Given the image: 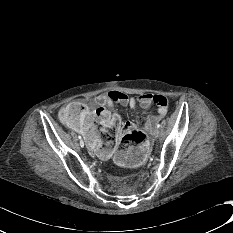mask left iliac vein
<instances>
[{
  "mask_svg": "<svg viewBox=\"0 0 233 233\" xmlns=\"http://www.w3.org/2000/svg\"><path fill=\"white\" fill-rule=\"evenodd\" d=\"M160 131L158 128H155L154 132H153V136L155 139H157L159 137Z\"/></svg>",
  "mask_w": 233,
  "mask_h": 233,
  "instance_id": "left-iliac-vein-1",
  "label": "left iliac vein"
}]
</instances>
